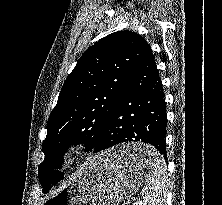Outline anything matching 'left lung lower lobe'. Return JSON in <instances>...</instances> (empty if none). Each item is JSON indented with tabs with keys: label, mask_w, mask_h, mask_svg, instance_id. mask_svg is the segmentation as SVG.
<instances>
[{
	"label": "left lung lower lobe",
	"mask_w": 222,
	"mask_h": 205,
	"mask_svg": "<svg viewBox=\"0 0 222 205\" xmlns=\"http://www.w3.org/2000/svg\"><path fill=\"white\" fill-rule=\"evenodd\" d=\"M161 80L149 44L132 70L114 105L96 145L98 153L128 141L153 145L167 159L165 133L166 107ZM62 156L56 167L61 165ZM153 156L137 151L130 157L134 165H150Z\"/></svg>",
	"instance_id": "obj_1"
}]
</instances>
